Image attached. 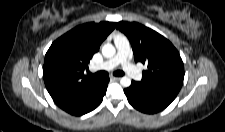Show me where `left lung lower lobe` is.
<instances>
[{
  "label": "left lung lower lobe",
  "instance_id": "left-lung-lower-lobe-1",
  "mask_svg": "<svg viewBox=\"0 0 225 132\" xmlns=\"http://www.w3.org/2000/svg\"><path fill=\"white\" fill-rule=\"evenodd\" d=\"M124 93L134 108L148 114L165 109L178 94L172 89L151 87L136 81H132Z\"/></svg>",
  "mask_w": 225,
  "mask_h": 132
}]
</instances>
